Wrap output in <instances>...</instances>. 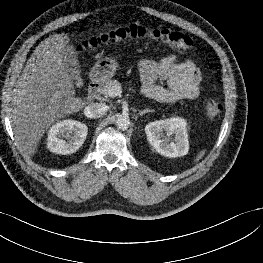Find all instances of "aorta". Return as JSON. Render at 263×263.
Returning <instances> with one entry per match:
<instances>
[{
  "label": "aorta",
  "instance_id": "aorta-1",
  "mask_svg": "<svg viewBox=\"0 0 263 263\" xmlns=\"http://www.w3.org/2000/svg\"><path fill=\"white\" fill-rule=\"evenodd\" d=\"M116 126L119 130H127L130 126V119L128 116H119L116 120Z\"/></svg>",
  "mask_w": 263,
  "mask_h": 263
}]
</instances>
